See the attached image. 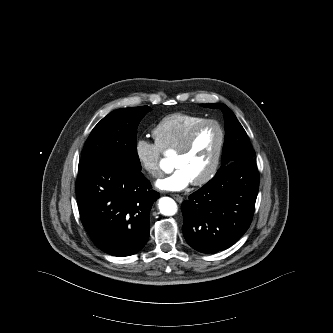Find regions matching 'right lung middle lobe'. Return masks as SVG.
<instances>
[{"instance_id": "1", "label": "right lung middle lobe", "mask_w": 333, "mask_h": 333, "mask_svg": "<svg viewBox=\"0 0 333 333\" xmlns=\"http://www.w3.org/2000/svg\"><path fill=\"white\" fill-rule=\"evenodd\" d=\"M148 106L118 109L103 118L92 130L84 146L82 160H116L134 170H141L137 154V127Z\"/></svg>"}]
</instances>
